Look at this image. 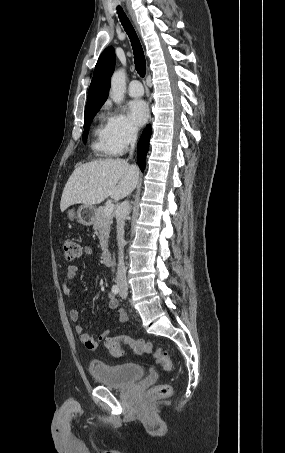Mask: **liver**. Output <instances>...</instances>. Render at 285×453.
<instances>
[{"label":"liver","mask_w":285,"mask_h":453,"mask_svg":"<svg viewBox=\"0 0 285 453\" xmlns=\"http://www.w3.org/2000/svg\"><path fill=\"white\" fill-rule=\"evenodd\" d=\"M139 169L123 159H100L78 166L69 177L60 202L64 212L73 204L93 206L109 196L118 201L129 195L139 179Z\"/></svg>","instance_id":"obj_1"}]
</instances>
